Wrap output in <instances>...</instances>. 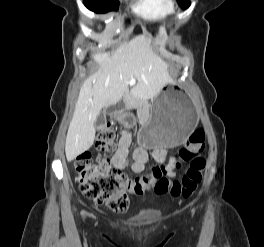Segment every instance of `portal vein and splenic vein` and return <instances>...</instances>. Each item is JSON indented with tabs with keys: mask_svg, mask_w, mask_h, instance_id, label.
I'll list each match as a JSON object with an SVG mask.
<instances>
[{
	"mask_svg": "<svg viewBox=\"0 0 264 247\" xmlns=\"http://www.w3.org/2000/svg\"><path fill=\"white\" fill-rule=\"evenodd\" d=\"M130 84H132V85H133V84H135V81H134V80H132V81L130 82Z\"/></svg>",
	"mask_w": 264,
	"mask_h": 247,
	"instance_id": "18ae733b",
	"label": "portal vein and splenic vein"
}]
</instances>
